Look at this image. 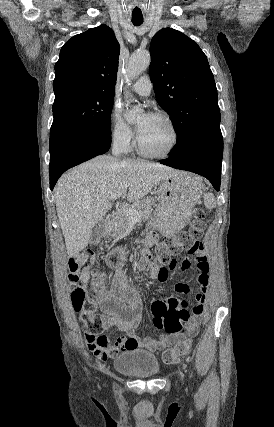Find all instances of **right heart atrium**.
Instances as JSON below:
<instances>
[{"label": "right heart atrium", "instance_id": "1", "mask_svg": "<svg viewBox=\"0 0 274 427\" xmlns=\"http://www.w3.org/2000/svg\"><path fill=\"white\" fill-rule=\"evenodd\" d=\"M109 135L111 142L121 151L129 152L134 146V133L116 107L111 110L109 116Z\"/></svg>", "mask_w": 274, "mask_h": 427}]
</instances>
